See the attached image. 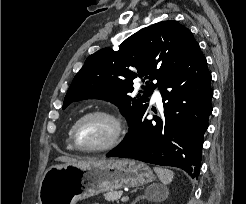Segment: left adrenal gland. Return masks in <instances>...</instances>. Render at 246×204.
Instances as JSON below:
<instances>
[{"instance_id": "obj_1", "label": "left adrenal gland", "mask_w": 246, "mask_h": 204, "mask_svg": "<svg viewBox=\"0 0 246 204\" xmlns=\"http://www.w3.org/2000/svg\"><path fill=\"white\" fill-rule=\"evenodd\" d=\"M144 196H138L136 199L132 202V204H135L140 198H143Z\"/></svg>"}]
</instances>
